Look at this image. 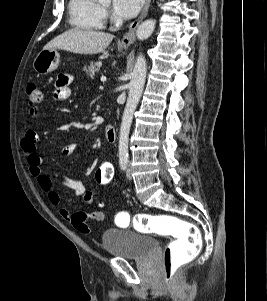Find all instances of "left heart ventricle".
Returning a JSON list of instances; mask_svg holds the SVG:
<instances>
[{
  "label": "left heart ventricle",
  "instance_id": "obj_1",
  "mask_svg": "<svg viewBox=\"0 0 267 301\" xmlns=\"http://www.w3.org/2000/svg\"><path fill=\"white\" fill-rule=\"evenodd\" d=\"M103 5H104V6H107V5H108V2H103Z\"/></svg>",
  "mask_w": 267,
  "mask_h": 301
}]
</instances>
